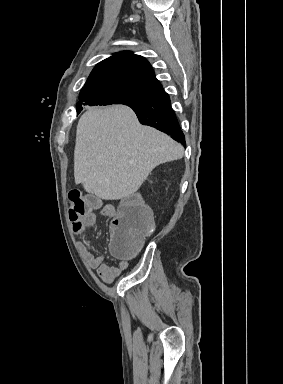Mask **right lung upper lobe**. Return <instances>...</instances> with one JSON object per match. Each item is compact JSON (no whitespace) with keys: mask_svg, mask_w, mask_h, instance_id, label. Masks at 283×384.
<instances>
[{"mask_svg":"<svg viewBox=\"0 0 283 384\" xmlns=\"http://www.w3.org/2000/svg\"><path fill=\"white\" fill-rule=\"evenodd\" d=\"M102 84L125 85L155 92L162 89L149 62L129 51L115 53L98 63L83 88Z\"/></svg>","mask_w":283,"mask_h":384,"instance_id":"right-lung-upper-lobe-1","label":"right lung upper lobe"}]
</instances>
